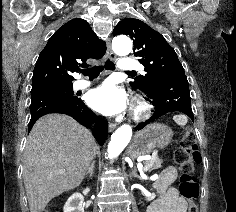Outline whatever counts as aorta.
Masks as SVG:
<instances>
[{
  "instance_id": "762f6f07",
  "label": "aorta",
  "mask_w": 236,
  "mask_h": 212,
  "mask_svg": "<svg viewBox=\"0 0 236 212\" xmlns=\"http://www.w3.org/2000/svg\"><path fill=\"white\" fill-rule=\"evenodd\" d=\"M112 48L118 55H128L132 50V42L127 36H117L112 41ZM132 137V128L129 125L120 126L111 136L108 144V157L113 159L124 150Z\"/></svg>"
}]
</instances>
